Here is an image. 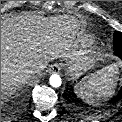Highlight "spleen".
Returning a JSON list of instances; mask_svg holds the SVG:
<instances>
[{"label": "spleen", "mask_w": 122, "mask_h": 122, "mask_svg": "<svg viewBox=\"0 0 122 122\" xmlns=\"http://www.w3.org/2000/svg\"><path fill=\"white\" fill-rule=\"evenodd\" d=\"M118 63H113L99 75H93L75 86V93L89 105L99 106L115 93Z\"/></svg>", "instance_id": "1"}]
</instances>
